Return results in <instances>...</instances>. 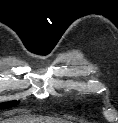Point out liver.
Returning <instances> with one entry per match:
<instances>
[{
	"mask_svg": "<svg viewBox=\"0 0 118 123\" xmlns=\"http://www.w3.org/2000/svg\"><path fill=\"white\" fill-rule=\"evenodd\" d=\"M1 123H69L62 119L46 117L20 116L1 121Z\"/></svg>",
	"mask_w": 118,
	"mask_h": 123,
	"instance_id": "1",
	"label": "liver"
}]
</instances>
